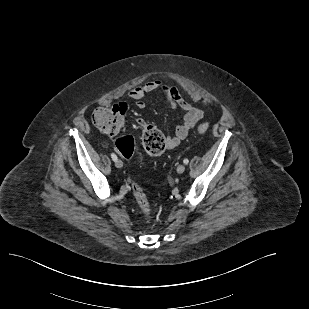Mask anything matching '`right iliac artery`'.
<instances>
[{
	"instance_id": "obj_1",
	"label": "right iliac artery",
	"mask_w": 309,
	"mask_h": 309,
	"mask_svg": "<svg viewBox=\"0 0 309 309\" xmlns=\"http://www.w3.org/2000/svg\"><path fill=\"white\" fill-rule=\"evenodd\" d=\"M111 158L113 159V161H116V160H117L116 154L112 153V154H111Z\"/></svg>"
}]
</instances>
